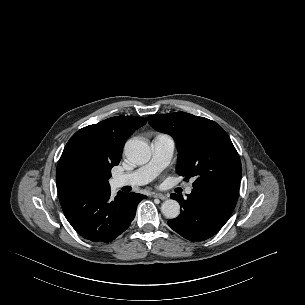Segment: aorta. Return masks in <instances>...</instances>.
Instances as JSON below:
<instances>
[{
	"mask_svg": "<svg viewBox=\"0 0 305 305\" xmlns=\"http://www.w3.org/2000/svg\"><path fill=\"white\" fill-rule=\"evenodd\" d=\"M124 153L130 162L137 165L147 163L151 157L150 146L136 138L126 142ZM161 212L166 218L174 219L180 214V205L176 200L168 199L161 205Z\"/></svg>",
	"mask_w": 305,
	"mask_h": 305,
	"instance_id": "1",
	"label": "aorta"
}]
</instances>
